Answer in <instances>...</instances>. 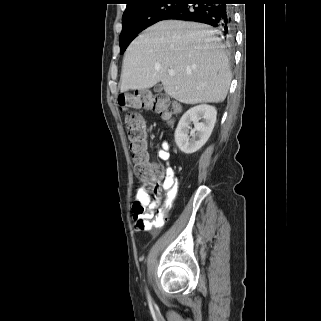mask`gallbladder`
Returning a JSON list of instances; mask_svg holds the SVG:
<instances>
[{"mask_svg":"<svg viewBox=\"0 0 321 321\" xmlns=\"http://www.w3.org/2000/svg\"><path fill=\"white\" fill-rule=\"evenodd\" d=\"M162 90H163L162 84H156V85L154 86V92H155V93H160Z\"/></svg>","mask_w":321,"mask_h":321,"instance_id":"bac80fb5","label":"gallbladder"}]
</instances>
